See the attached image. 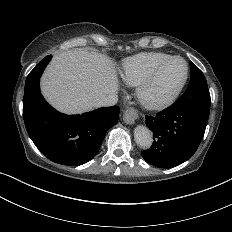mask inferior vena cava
Returning a JSON list of instances; mask_svg holds the SVG:
<instances>
[{"instance_id":"1","label":"inferior vena cava","mask_w":232,"mask_h":232,"mask_svg":"<svg viewBox=\"0 0 232 232\" xmlns=\"http://www.w3.org/2000/svg\"><path fill=\"white\" fill-rule=\"evenodd\" d=\"M117 100H118V98L115 94H110V95H107V96L101 98L97 102H95V107L113 106L117 103Z\"/></svg>"}]
</instances>
